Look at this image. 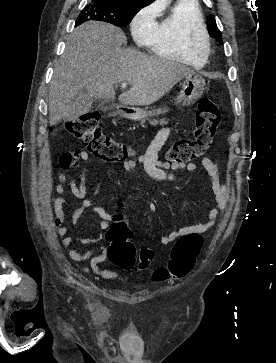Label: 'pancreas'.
Returning a JSON list of instances; mask_svg holds the SVG:
<instances>
[{
    "instance_id": "pancreas-1",
    "label": "pancreas",
    "mask_w": 276,
    "mask_h": 363,
    "mask_svg": "<svg viewBox=\"0 0 276 363\" xmlns=\"http://www.w3.org/2000/svg\"><path fill=\"white\" fill-rule=\"evenodd\" d=\"M150 123H151L152 125H157L158 123H160L161 125H163V124H166V123H167V121H166L165 119H161L160 121H159V120H153V121H150Z\"/></svg>"
}]
</instances>
